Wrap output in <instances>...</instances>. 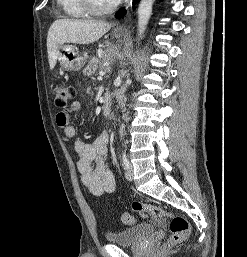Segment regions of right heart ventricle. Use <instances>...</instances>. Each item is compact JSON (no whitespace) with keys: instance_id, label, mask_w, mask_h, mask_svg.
I'll return each instance as SVG.
<instances>
[{"instance_id":"1","label":"right heart ventricle","mask_w":247,"mask_h":257,"mask_svg":"<svg viewBox=\"0 0 247 257\" xmlns=\"http://www.w3.org/2000/svg\"><path fill=\"white\" fill-rule=\"evenodd\" d=\"M57 2L63 14L68 18L77 19L88 16L81 0H57Z\"/></svg>"}]
</instances>
